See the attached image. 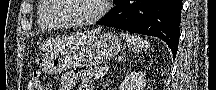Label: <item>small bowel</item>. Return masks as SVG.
Returning a JSON list of instances; mask_svg holds the SVG:
<instances>
[{
    "label": "small bowel",
    "mask_w": 216,
    "mask_h": 90,
    "mask_svg": "<svg viewBox=\"0 0 216 90\" xmlns=\"http://www.w3.org/2000/svg\"><path fill=\"white\" fill-rule=\"evenodd\" d=\"M79 83L78 75L69 71L66 72L61 79V87L59 90H73V88ZM80 90H92L91 86L85 82H82L79 86Z\"/></svg>",
    "instance_id": "c3829d8e"
}]
</instances>
